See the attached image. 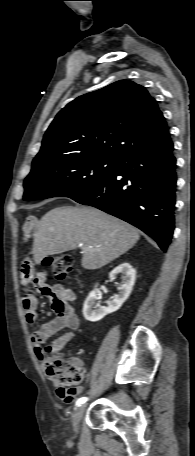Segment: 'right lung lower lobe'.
<instances>
[{"mask_svg": "<svg viewBox=\"0 0 195 456\" xmlns=\"http://www.w3.org/2000/svg\"><path fill=\"white\" fill-rule=\"evenodd\" d=\"M173 142L131 153L115 172L74 198L138 227L166 251L174 230L176 158Z\"/></svg>", "mask_w": 195, "mask_h": 456, "instance_id": "obj_1", "label": "right lung lower lobe"}]
</instances>
